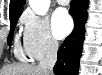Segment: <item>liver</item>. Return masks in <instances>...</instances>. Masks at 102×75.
<instances>
[{
  "label": "liver",
  "instance_id": "1",
  "mask_svg": "<svg viewBox=\"0 0 102 75\" xmlns=\"http://www.w3.org/2000/svg\"><path fill=\"white\" fill-rule=\"evenodd\" d=\"M0 75H49L38 66L28 64H15L3 66Z\"/></svg>",
  "mask_w": 102,
  "mask_h": 75
}]
</instances>
